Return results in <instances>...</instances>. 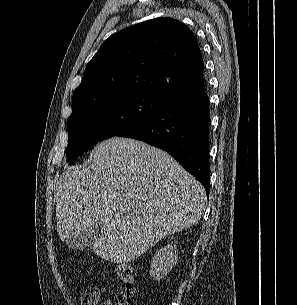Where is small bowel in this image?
I'll list each match as a JSON object with an SVG mask.
<instances>
[{
  "label": "small bowel",
  "instance_id": "small-bowel-1",
  "mask_svg": "<svg viewBox=\"0 0 297 305\" xmlns=\"http://www.w3.org/2000/svg\"><path fill=\"white\" fill-rule=\"evenodd\" d=\"M106 293V287L89 289L82 295L81 305H97L101 297ZM101 305H115L113 298H108Z\"/></svg>",
  "mask_w": 297,
  "mask_h": 305
}]
</instances>
